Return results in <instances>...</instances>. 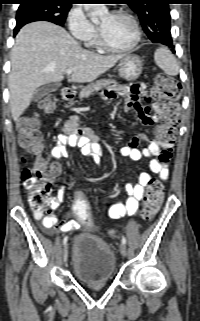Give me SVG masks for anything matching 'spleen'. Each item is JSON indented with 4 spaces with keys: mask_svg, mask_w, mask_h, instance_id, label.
I'll use <instances>...</instances> for the list:
<instances>
[{
    "mask_svg": "<svg viewBox=\"0 0 200 321\" xmlns=\"http://www.w3.org/2000/svg\"><path fill=\"white\" fill-rule=\"evenodd\" d=\"M154 60L158 67H160L165 74L170 76H176L179 72V66L176 58L165 47L156 49L154 53Z\"/></svg>",
    "mask_w": 200,
    "mask_h": 321,
    "instance_id": "3e777b00",
    "label": "spleen"
}]
</instances>
